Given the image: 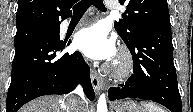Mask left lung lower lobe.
<instances>
[{"mask_svg": "<svg viewBox=\"0 0 193 112\" xmlns=\"http://www.w3.org/2000/svg\"><path fill=\"white\" fill-rule=\"evenodd\" d=\"M127 47L133 57L134 73L121 86L109 89V99L141 98L158 102L171 112H182L171 27L149 31Z\"/></svg>", "mask_w": 193, "mask_h": 112, "instance_id": "left-lung-lower-lobe-1", "label": "left lung lower lobe"}]
</instances>
